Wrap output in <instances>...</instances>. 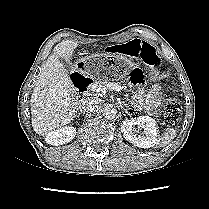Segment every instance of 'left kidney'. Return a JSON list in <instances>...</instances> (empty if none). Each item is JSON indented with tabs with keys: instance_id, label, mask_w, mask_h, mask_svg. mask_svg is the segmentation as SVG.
I'll return each mask as SVG.
<instances>
[{
	"instance_id": "5707ae66",
	"label": "left kidney",
	"mask_w": 209,
	"mask_h": 209,
	"mask_svg": "<svg viewBox=\"0 0 209 209\" xmlns=\"http://www.w3.org/2000/svg\"><path fill=\"white\" fill-rule=\"evenodd\" d=\"M133 125L144 129L145 136H138L133 132ZM123 137L140 148H150L158 145V128L154 119L148 116H139L134 119H126L121 123Z\"/></svg>"
}]
</instances>
